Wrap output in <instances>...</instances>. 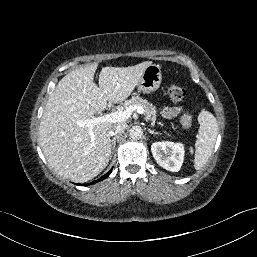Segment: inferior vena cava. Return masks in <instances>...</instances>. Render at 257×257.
<instances>
[{
	"mask_svg": "<svg viewBox=\"0 0 257 257\" xmlns=\"http://www.w3.org/2000/svg\"><path fill=\"white\" fill-rule=\"evenodd\" d=\"M124 129V126L121 124L114 125L110 130H109V136H116L117 134L121 133Z\"/></svg>",
	"mask_w": 257,
	"mask_h": 257,
	"instance_id": "602c4592",
	"label": "inferior vena cava"
}]
</instances>
